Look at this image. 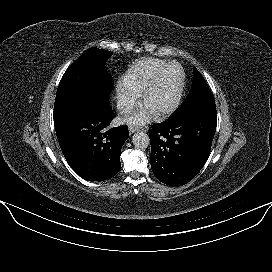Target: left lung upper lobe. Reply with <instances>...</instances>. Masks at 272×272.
Returning a JSON list of instances; mask_svg holds the SVG:
<instances>
[{"mask_svg":"<svg viewBox=\"0 0 272 272\" xmlns=\"http://www.w3.org/2000/svg\"><path fill=\"white\" fill-rule=\"evenodd\" d=\"M215 106L213 95L204 80L203 76L194 67L193 69V83L189 94L180 105V107L173 113L177 115L190 110L205 109Z\"/></svg>","mask_w":272,"mask_h":272,"instance_id":"1","label":"left lung upper lobe"}]
</instances>
